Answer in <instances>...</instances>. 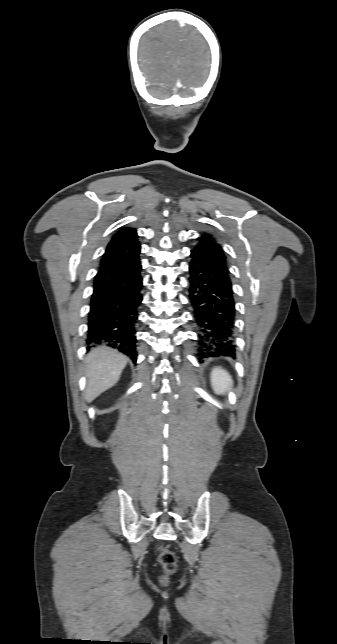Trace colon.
<instances>
[{
  "mask_svg": "<svg viewBox=\"0 0 337 644\" xmlns=\"http://www.w3.org/2000/svg\"><path fill=\"white\" fill-rule=\"evenodd\" d=\"M159 561L162 564L166 574L173 573L176 569V556L173 552L167 550L163 546H159Z\"/></svg>",
  "mask_w": 337,
  "mask_h": 644,
  "instance_id": "colon-1",
  "label": "colon"
}]
</instances>
